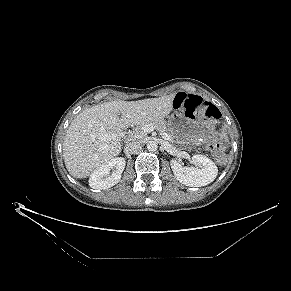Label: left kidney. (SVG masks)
I'll return each mask as SVG.
<instances>
[{
  "label": "left kidney",
  "mask_w": 291,
  "mask_h": 291,
  "mask_svg": "<svg viewBox=\"0 0 291 291\" xmlns=\"http://www.w3.org/2000/svg\"><path fill=\"white\" fill-rule=\"evenodd\" d=\"M191 162L198 167L183 166L175 159L170 161L176 179L190 187H201L215 180L218 169L215 163L204 155H193Z\"/></svg>",
  "instance_id": "5707ae66"
}]
</instances>
